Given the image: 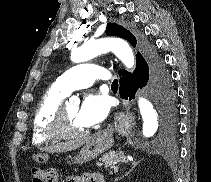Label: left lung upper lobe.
Returning <instances> with one entry per match:
<instances>
[{
  "label": "left lung upper lobe",
  "instance_id": "obj_1",
  "mask_svg": "<svg viewBox=\"0 0 211 182\" xmlns=\"http://www.w3.org/2000/svg\"><path fill=\"white\" fill-rule=\"evenodd\" d=\"M105 32L109 36H117V37H121V38L127 40L128 42H130L133 45V47L136 46L137 41H136V38L134 37V35L131 34L127 29H125L124 27H122L118 24L108 23ZM121 71H123V70H120L119 72H121ZM173 113H174V109L172 106L168 110V116L171 118Z\"/></svg>",
  "mask_w": 211,
  "mask_h": 182
}]
</instances>
